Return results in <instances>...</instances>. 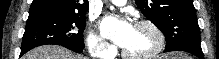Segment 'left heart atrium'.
Masks as SVG:
<instances>
[{
  "mask_svg": "<svg viewBox=\"0 0 219 59\" xmlns=\"http://www.w3.org/2000/svg\"><path fill=\"white\" fill-rule=\"evenodd\" d=\"M100 29L105 37L124 47L134 31V26L127 20L106 16L100 22Z\"/></svg>",
  "mask_w": 219,
  "mask_h": 59,
  "instance_id": "1",
  "label": "left heart atrium"
}]
</instances>
